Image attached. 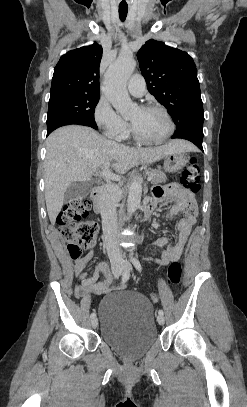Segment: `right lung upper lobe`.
Wrapping results in <instances>:
<instances>
[{"instance_id":"right-lung-upper-lobe-1","label":"right lung upper lobe","mask_w":247,"mask_h":407,"mask_svg":"<svg viewBox=\"0 0 247 407\" xmlns=\"http://www.w3.org/2000/svg\"><path fill=\"white\" fill-rule=\"evenodd\" d=\"M101 58L102 46L97 43L64 54L54 70L51 95L61 92L100 94Z\"/></svg>"}]
</instances>
